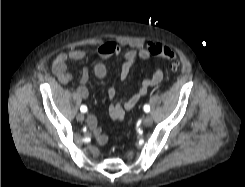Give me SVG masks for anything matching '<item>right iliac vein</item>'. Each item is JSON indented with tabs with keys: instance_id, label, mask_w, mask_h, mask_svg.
Segmentation results:
<instances>
[{
	"instance_id": "right-iliac-vein-1",
	"label": "right iliac vein",
	"mask_w": 245,
	"mask_h": 187,
	"mask_svg": "<svg viewBox=\"0 0 245 187\" xmlns=\"http://www.w3.org/2000/svg\"><path fill=\"white\" fill-rule=\"evenodd\" d=\"M76 119L79 121V122H83L84 121V115L82 113H79L77 116H76Z\"/></svg>"
}]
</instances>
